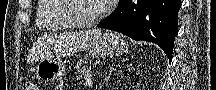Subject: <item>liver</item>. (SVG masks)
<instances>
[{"label":"liver","instance_id":"obj_1","mask_svg":"<svg viewBox=\"0 0 216 90\" xmlns=\"http://www.w3.org/2000/svg\"><path fill=\"white\" fill-rule=\"evenodd\" d=\"M101 36V30H86V32H73L68 36V50L69 52H78L83 48H90L93 46L94 40H98Z\"/></svg>","mask_w":216,"mask_h":90}]
</instances>
